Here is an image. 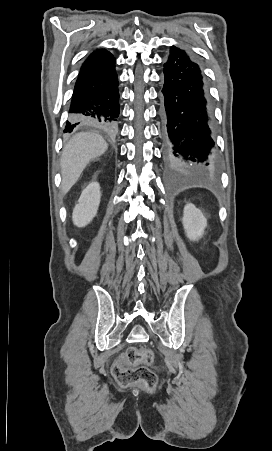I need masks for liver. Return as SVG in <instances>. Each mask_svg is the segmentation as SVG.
Here are the masks:
<instances>
[{
  "label": "liver",
  "mask_w": 272,
  "mask_h": 451,
  "mask_svg": "<svg viewBox=\"0 0 272 451\" xmlns=\"http://www.w3.org/2000/svg\"><path fill=\"white\" fill-rule=\"evenodd\" d=\"M107 148L108 144L104 138L94 132H80L69 140L63 148L60 160L63 194H67L76 184L90 160L102 156Z\"/></svg>",
  "instance_id": "obj_1"
}]
</instances>
